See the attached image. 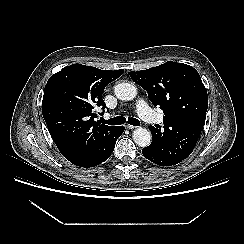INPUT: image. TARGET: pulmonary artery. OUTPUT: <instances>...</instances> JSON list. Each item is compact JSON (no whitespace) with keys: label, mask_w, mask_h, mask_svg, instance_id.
Returning <instances> with one entry per match:
<instances>
[{"label":"pulmonary artery","mask_w":244,"mask_h":244,"mask_svg":"<svg viewBox=\"0 0 244 244\" xmlns=\"http://www.w3.org/2000/svg\"><path fill=\"white\" fill-rule=\"evenodd\" d=\"M136 110H137L138 115L144 121H146L148 123H162L163 122L162 116L154 113L143 99H140L137 101Z\"/></svg>","instance_id":"obj_1"}]
</instances>
